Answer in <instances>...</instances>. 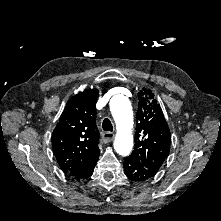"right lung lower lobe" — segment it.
Wrapping results in <instances>:
<instances>
[{
	"instance_id": "obj_1",
	"label": "right lung lower lobe",
	"mask_w": 221,
	"mask_h": 221,
	"mask_svg": "<svg viewBox=\"0 0 221 221\" xmlns=\"http://www.w3.org/2000/svg\"><path fill=\"white\" fill-rule=\"evenodd\" d=\"M97 160L98 158L94 160V162L84 172H82L80 175H77L76 177L72 179L77 180V181L88 179L93 173Z\"/></svg>"
}]
</instances>
